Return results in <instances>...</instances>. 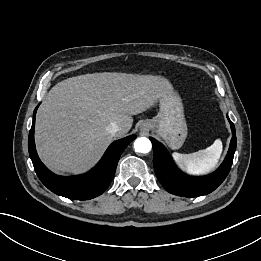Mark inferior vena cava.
<instances>
[{"label": "inferior vena cava", "instance_id": "inferior-vena-cava-1", "mask_svg": "<svg viewBox=\"0 0 261 261\" xmlns=\"http://www.w3.org/2000/svg\"><path fill=\"white\" fill-rule=\"evenodd\" d=\"M119 129V125L116 122H111L106 128L107 132L110 133L112 136L116 135Z\"/></svg>", "mask_w": 261, "mask_h": 261}]
</instances>
